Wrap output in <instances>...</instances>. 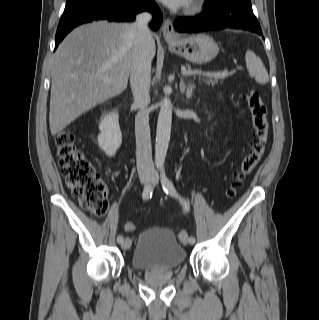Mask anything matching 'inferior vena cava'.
I'll use <instances>...</instances> for the list:
<instances>
[{"instance_id":"inferior-vena-cava-1","label":"inferior vena cava","mask_w":319,"mask_h":320,"mask_svg":"<svg viewBox=\"0 0 319 320\" xmlns=\"http://www.w3.org/2000/svg\"><path fill=\"white\" fill-rule=\"evenodd\" d=\"M150 19L151 15L147 12L138 14L129 28V36L133 40L130 84L134 103L139 108L135 117L136 163L139 176H150L154 172L149 115L146 111L150 102L151 57L149 46L153 40L147 25Z\"/></svg>"}]
</instances>
